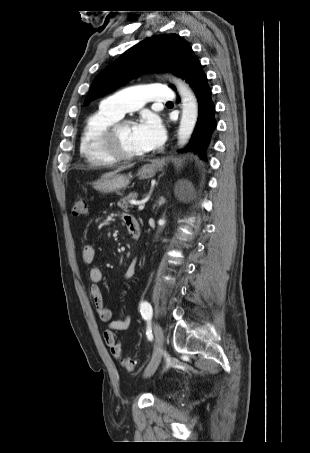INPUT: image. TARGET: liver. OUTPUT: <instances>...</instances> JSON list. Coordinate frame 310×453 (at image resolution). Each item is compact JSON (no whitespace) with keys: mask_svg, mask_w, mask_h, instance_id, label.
Wrapping results in <instances>:
<instances>
[{"mask_svg":"<svg viewBox=\"0 0 310 453\" xmlns=\"http://www.w3.org/2000/svg\"><path fill=\"white\" fill-rule=\"evenodd\" d=\"M130 167H131V165H129V166H121V167L117 168V169H116L115 171H113V172H108V173L103 174V175H102V178L110 177V176H112V175H114V174H116V173H118V172H120V171H123V170H125V169H127V168H130Z\"/></svg>","mask_w":310,"mask_h":453,"instance_id":"liver-1","label":"liver"}]
</instances>
